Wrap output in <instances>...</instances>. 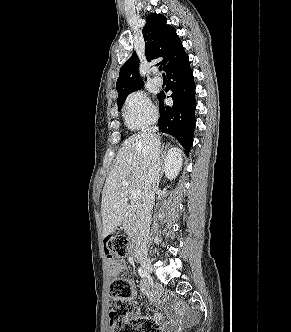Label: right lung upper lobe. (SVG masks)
Segmentation results:
<instances>
[{"mask_svg": "<svg viewBox=\"0 0 291 332\" xmlns=\"http://www.w3.org/2000/svg\"><path fill=\"white\" fill-rule=\"evenodd\" d=\"M166 22L167 19L164 15L152 13L147 16L146 24L142 30L146 43L145 54L147 60L164 57L161 64L165 71L187 57L175 29L171 25H167ZM138 70L139 60L136 53H134L120 69L116 83L117 101L143 86L144 81Z\"/></svg>", "mask_w": 291, "mask_h": 332, "instance_id": "right-lung-upper-lobe-1", "label": "right lung upper lobe"}]
</instances>
